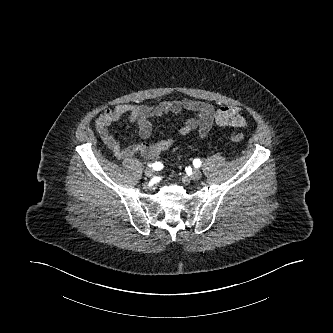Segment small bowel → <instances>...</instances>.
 <instances>
[{
	"label": "small bowel",
	"mask_w": 333,
	"mask_h": 333,
	"mask_svg": "<svg viewBox=\"0 0 333 333\" xmlns=\"http://www.w3.org/2000/svg\"><path fill=\"white\" fill-rule=\"evenodd\" d=\"M183 112H192L194 116L188 118L179 129L181 136H188L195 132L202 139L214 124L233 129L246 125L245 119L236 107H223L215 110L207 103L185 98L164 100L156 105L119 104L101 113L95 120V128L101 140L118 160L127 159L135 154L154 159L173 146V138L155 142H131L127 146H122L111 133L110 126L122 116L127 115L130 121L137 124L140 137L147 140L152 134L151 120L153 118Z\"/></svg>",
	"instance_id": "1"
}]
</instances>
